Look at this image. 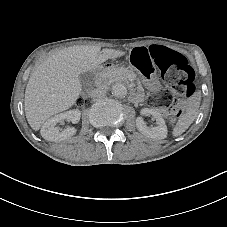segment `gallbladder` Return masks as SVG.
<instances>
[{
  "instance_id": "obj_1",
  "label": "gallbladder",
  "mask_w": 227,
  "mask_h": 227,
  "mask_svg": "<svg viewBox=\"0 0 227 227\" xmlns=\"http://www.w3.org/2000/svg\"><path fill=\"white\" fill-rule=\"evenodd\" d=\"M83 88H90L94 84L95 73L92 71L83 73L79 76Z\"/></svg>"
}]
</instances>
